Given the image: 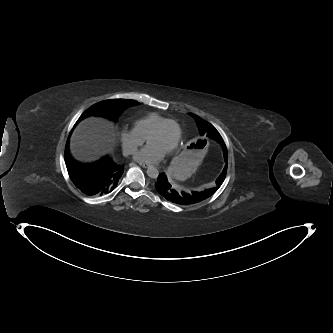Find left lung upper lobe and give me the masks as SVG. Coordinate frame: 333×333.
I'll return each mask as SVG.
<instances>
[{
  "mask_svg": "<svg viewBox=\"0 0 333 333\" xmlns=\"http://www.w3.org/2000/svg\"><path fill=\"white\" fill-rule=\"evenodd\" d=\"M192 116L195 118V120L197 122V125L199 127V131H200L201 135L207 136V137H209L211 139H214V140H216L219 143L224 142L223 139H222V137L218 133V131L210 123L202 120L197 115H193L192 114ZM225 147L226 146H223L222 148H223V152H224L225 161L227 162L228 155H227V149ZM226 170H227V164L225 165L222 174L219 176V178L216 181L218 187L221 186V184L223 183V181L225 179Z\"/></svg>",
  "mask_w": 333,
  "mask_h": 333,
  "instance_id": "1",
  "label": "left lung upper lobe"
}]
</instances>
